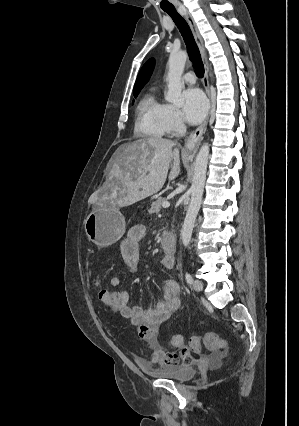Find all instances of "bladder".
<instances>
[{"label":"bladder","mask_w":299,"mask_h":426,"mask_svg":"<svg viewBox=\"0 0 299 426\" xmlns=\"http://www.w3.org/2000/svg\"><path fill=\"white\" fill-rule=\"evenodd\" d=\"M145 372L156 378L168 379L178 383H185L192 380L196 374L193 367L190 366H163L153 368L148 365H143Z\"/></svg>","instance_id":"obj_1"}]
</instances>
